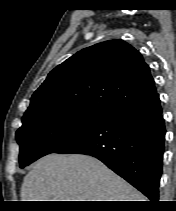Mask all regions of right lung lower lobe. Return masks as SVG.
I'll return each instance as SVG.
<instances>
[{"mask_svg":"<svg viewBox=\"0 0 176 211\" xmlns=\"http://www.w3.org/2000/svg\"><path fill=\"white\" fill-rule=\"evenodd\" d=\"M165 123L159 95L107 115L97 126L56 153L94 156L157 202Z\"/></svg>","mask_w":176,"mask_h":211,"instance_id":"obj_1","label":"right lung lower lobe"}]
</instances>
